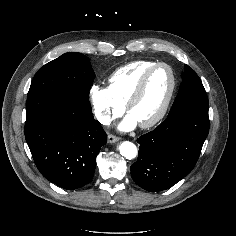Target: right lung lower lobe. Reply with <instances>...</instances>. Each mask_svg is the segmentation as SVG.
<instances>
[{
    "label": "right lung lower lobe",
    "mask_w": 236,
    "mask_h": 236,
    "mask_svg": "<svg viewBox=\"0 0 236 236\" xmlns=\"http://www.w3.org/2000/svg\"><path fill=\"white\" fill-rule=\"evenodd\" d=\"M24 131L46 179L66 190L90 182L107 135L93 118L89 100L53 94L29 97Z\"/></svg>",
    "instance_id": "98d812e1"
}]
</instances>
